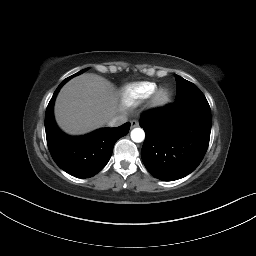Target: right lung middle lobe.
I'll use <instances>...</instances> for the list:
<instances>
[{"mask_svg": "<svg viewBox=\"0 0 256 256\" xmlns=\"http://www.w3.org/2000/svg\"><path fill=\"white\" fill-rule=\"evenodd\" d=\"M87 69H88V68H86V69H84V70H81V71H79L78 73H76V74H74V75H72V76L66 78V79L64 80V82L68 81L69 79H71L72 77H74V76H76V75H79V74L83 73V72L86 71Z\"/></svg>", "mask_w": 256, "mask_h": 256, "instance_id": "1", "label": "right lung middle lobe"}]
</instances>
